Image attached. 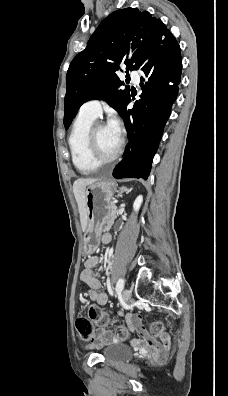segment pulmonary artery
<instances>
[{
  "label": "pulmonary artery",
  "mask_w": 228,
  "mask_h": 396,
  "mask_svg": "<svg viewBox=\"0 0 228 396\" xmlns=\"http://www.w3.org/2000/svg\"><path fill=\"white\" fill-rule=\"evenodd\" d=\"M130 78L136 85L140 82V75L137 71H131ZM80 113L96 118L101 113V103L97 99L89 100L80 107Z\"/></svg>",
  "instance_id": "1"
}]
</instances>
